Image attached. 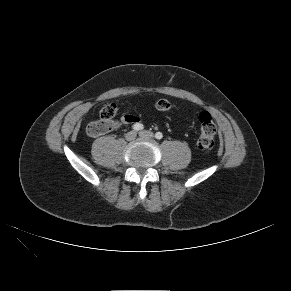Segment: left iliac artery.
I'll return each instance as SVG.
<instances>
[{"mask_svg":"<svg viewBox=\"0 0 291 291\" xmlns=\"http://www.w3.org/2000/svg\"><path fill=\"white\" fill-rule=\"evenodd\" d=\"M162 137H163V134L161 132H157L155 134V138L158 139V140L162 139Z\"/></svg>","mask_w":291,"mask_h":291,"instance_id":"left-iliac-artery-1","label":"left iliac artery"}]
</instances>
